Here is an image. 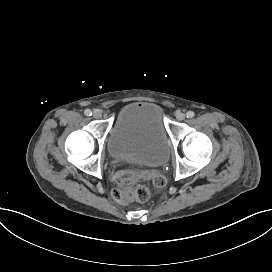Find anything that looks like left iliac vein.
Listing matches in <instances>:
<instances>
[{
  "instance_id": "4c4485c4",
  "label": "left iliac vein",
  "mask_w": 272,
  "mask_h": 272,
  "mask_svg": "<svg viewBox=\"0 0 272 272\" xmlns=\"http://www.w3.org/2000/svg\"><path fill=\"white\" fill-rule=\"evenodd\" d=\"M176 118H177L178 121H182V120L185 119V114L180 112V111H177L176 112Z\"/></svg>"
}]
</instances>
